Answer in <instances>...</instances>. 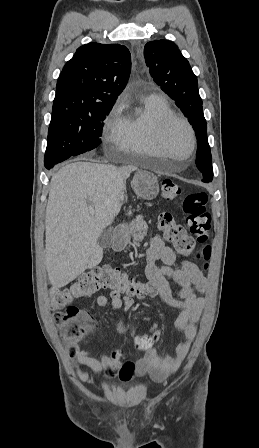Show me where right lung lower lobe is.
Here are the masks:
<instances>
[{
	"mask_svg": "<svg viewBox=\"0 0 259 448\" xmlns=\"http://www.w3.org/2000/svg\"><path fill=\"white\" fill-rule=\"evenodd\" d=\"M55 165H51V166H49V167H46L47 169H51V168H53Z\"/></svg>",
	"mask_w": 259,
	"mask_h": 448,
	"instance_id": "1",
	"label": "right lung lower lobe"
}]
</instances>
